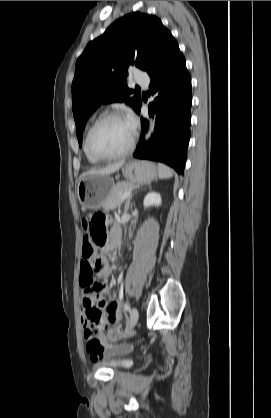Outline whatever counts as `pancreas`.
Listing matches in <instances>:
<instances>
[{"label":"pancreas","instance_id":"1","mask_svg":"<svg viewBox=\"0 0 271 418\" xmlns=\"http://www.w3.org/2000/svg\"><path fill=\"white\" fill-rule=\"evenodd\" d=\"M134 188V184L129 182H118L112 189L110 195L108 196L106 202L103 205L105 211H109L112 208L120 206L122 204V196L131 191Z\"/></svg>","mask_w":271,"mask_h":418}]
</instances>
